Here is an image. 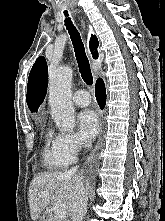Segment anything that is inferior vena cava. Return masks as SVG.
Here are the masks:
<instances>
[{
    "mask_svg": "<svg viewBox=\"0 0 165 221\" xmlns=\"http://www.w3.org/2000/svg\"><path fill=\"white\" fill-rule=\"evenodd\" d=\"M76 171L77 167H74L66 172L69 175H73L76 180L75 191L71 203V217L72 221H83L87 212L88 196L82 178L76 174Z\"/></svg>",
    "mask_w": 165,
    "mask_h": 221,
    "instance_id": "obj_1",
    "label": "inferior vena cava"
}]
</instances>
